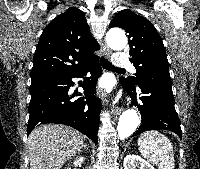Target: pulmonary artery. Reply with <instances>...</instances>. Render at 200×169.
I'll return each instance as SVG.
<instances>
[{
  "instance_id": "pulmonary-artery-1",
  "label": "pulmonary artery",
  "mask_w": 200,
  "mask_h": 169,
  "mask_svg": "<svg viewBox=\"0 0 200 169\" xmlns=\"http://www.w3.org/2000/svg\"><path fill=\"white\" fill-rule=\"evenodd\" d=\"M113 64L120 67H130V69L134 71V68L130 66L129 58L123 52H117L115 54L113 58Z\"/></svg>"
}]
</instances>
